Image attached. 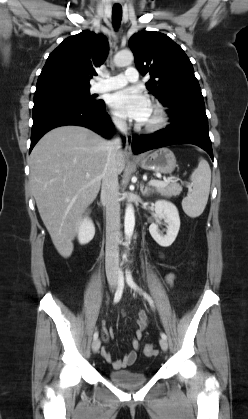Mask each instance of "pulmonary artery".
Instances as JSON below:
<instances>
[{
  "label": "pulmonary artery",
  "instance_id": "1",
  "mask_svg": "<svg viewBox=\"0 0 248 419\" xmlns=\"http://www.w3.org/2000/svg\"><path fill=\"white\" fill-rule=\"evenodd\" d=\"M139 75L135 67H128L123 74L106 76L94 86L95 92H105L119 89L129 82L138 81Z\"/></svg>",
  "mask_w": 248,
  "mask_h": 419
}]
</instances>
